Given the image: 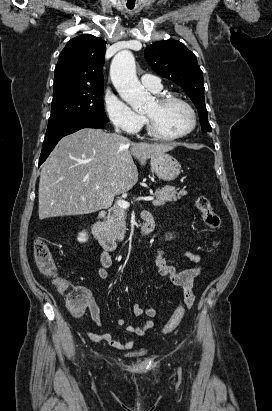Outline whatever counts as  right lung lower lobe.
I'll list each match as a JSON object with an SVG mask.
<instances>
[{"instance_id":"obj_1","label":"right lung lower lobe","mask_w":272,"mask_h":411,"mask_svg":"<svg viewBox=\"0 0 272 411\" xmlns=\"http://www.w3.org/2000/svg\"><path fill=\"white\" fill-rule=\"evenodd\" d=\"M107 122H101V121H94V120H89V119H82L78 121H74L72 123H69L59 129L53 130L51 132H47L44 138L43 146H42V151L39 159V165H41L46 158L49 156L50 152L53 150L55 145L58 143V141L73 132H76L82 128L85 127H90V128H101L106 125Z\"/></svg>"}]
</instances>
